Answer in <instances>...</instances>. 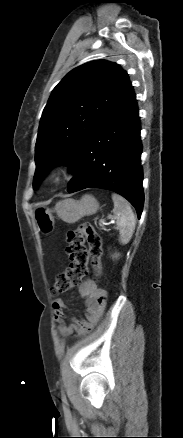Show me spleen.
<instances>
[{"label": "spleen", "mask_w": 183, "mask_h": 438, "mask_svg": "<svg viewBox=\"0 0 183 438\" xmlns=\"http://www.w3.org/2000/svg\"><path fill=\"white\" fill-rule=\"evenodd\" d=\"M114 202V219L116 220V228L120 233V243L127 244L135 230V216L130 207V204L118 194L112 195Z\"/></svg>", "instance_id": "spleen-1"}]
</instances>
